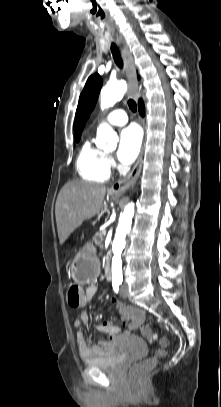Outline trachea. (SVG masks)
<instances>
[{
  "instance_id": "3493384b",
  "label": "trachea",
  "mask_w": 221,
  "mask_h": 407,
  "mask_svg": "<svg viewBox=\"0 0 221 407\" xmlns=\"http://www.w3.org/2000/svg\"><path fill=\"white\" fill-rule=\"evenodd\" d=\"M111 52H112V55H113V58H114V61H115L116 65L119 68H122L123 67V61H122V58L120 56L119 50H118L117 46L114 43L111 44ZM128 106H129V108H130V110L132 112H136L137 106H136V103L133 100L130 99L128 101Z\"/></svg>"
}]
</instances>
